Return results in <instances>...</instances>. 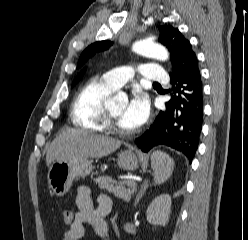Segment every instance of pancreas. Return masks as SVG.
I'll return each mask as SVG.
<instances>
[{
    "instance_id": "obj_1",
    "label": "pancreas",
    "mask_w": 248,
    "mask_h": 240,
    "mask_svg": "<svg viewBox=\"0 0 248 240\" xmlns=\"http://www.w3.org/2000/svg\"><path fill=\"white\" fill-rule=\"evenodd\" d=\"M94 181L100 189L107 190L124 201H129L135 192V187L129 186L125 182H117L109 176H100Z\"/></svg>"
}]
</instances>
